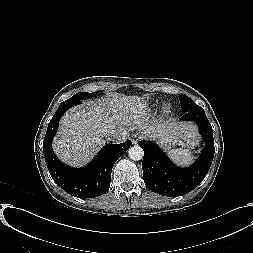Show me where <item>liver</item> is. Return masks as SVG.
<instances>
[{
  "label": "liver",
  "mask_w": 253,
  "mask_h": 253,
  "mask_svg": "<svg viewBox=\"0 0 253 253\" xmlns=\"http://www.w3.org/2000/svg\"><path fill=\"white\" fill-rule=\"evenodd\" d=\"M134 130L161 144L173 141L192 148L198 143L197 127L193 123L173 118L150 122L146 102L140 97L113 93L102 100L88 101L86 106L70 109L60 120L53 150L63 162L81 167L108 141L111 132Z\"/></svg>",
  "instance_id": "liver-1"
}]
</instances>
